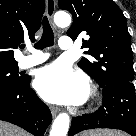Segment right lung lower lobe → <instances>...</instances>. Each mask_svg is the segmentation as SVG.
<instances>
[{
	"label": "right lung lower lobe",
	"mask_w": 136,
	"mask_h": 136,
	"mask_svg": "<svg viewBox=\"0 0 136 136\" xmlns=\"http://www.w3.org/2000/svg\"><path fill=\"white\" fill-rule=\"evenodd\" d=\"M31 77L11 88H0V120L22 127L35 136H43L52 121L49 108L30 88Z\"/></svg>",
	"instance_id": "98d812e1"
}]
</instances>
